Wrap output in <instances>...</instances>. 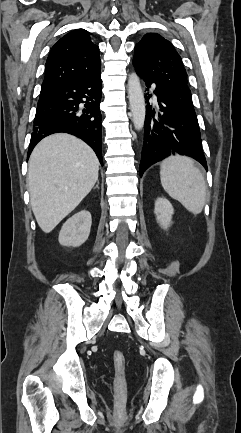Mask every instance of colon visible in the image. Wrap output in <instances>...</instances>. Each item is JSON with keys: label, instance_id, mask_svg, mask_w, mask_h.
I'll return each instance as SVG.
<instances>
[{"label": "colon", "instance_id": "1", "mask_svg": "<svg viewBox=\"0 0 241 433\" xmlns=\"http://www.w3.org/2000/svg\"><path fill=\"white\" fill-rule=\"evenodd\" d=\"M113 362L115 368L114 390L118 402L121 404L126 394V361L124 354L119 350L114 351Z\"/></svg>", "mask_w": 241, "mask_h": 433}]
</instances>
